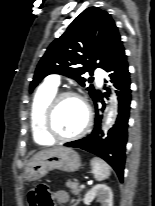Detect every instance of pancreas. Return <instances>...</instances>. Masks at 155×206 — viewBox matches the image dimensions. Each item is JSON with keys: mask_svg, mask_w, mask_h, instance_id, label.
<instances>
[{"mask_svg": "<svg viewBox=\"0 0 155 206\" xmlns=\"http://www.w3.org/2000/svg\"><path fill=\"white\" fill-rule=\"evenodd\" d=\"M66 186L69 187L71 192L75 195H79V193L82 191V188L79 187L77 180H68L66 182Z\"/></svg>", "mask_w": 155, "mask_h": 206, "instance_id": "pancreas-1", "label": "pancreas"}]
</instances>
